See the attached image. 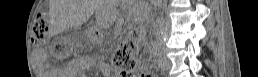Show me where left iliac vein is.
<instances>
[{
    "label": "left iliac vein",
    "instance_id": "left-iliac-vein-1",
    "mask_svg": "<svg viewBox=\"0 0 258 77\" xmlns=\"http://www.w3.org/2000/svg\"><path fill=\"white\" fill-rule=\"evenodd\" d=\"M158 65L161 70L166 71L171 68V61L165 56H160L158 60Z\"/></svg>",
    "mask_w": 258,
    "mask_h": 77
}]
</instances>
